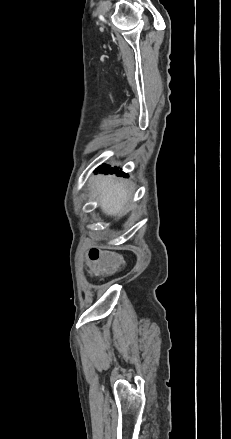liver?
Masks as SVG:
<instances>
[{"label":"liver","instance_id":"obj_1","mask_svg":"<svg viewBox=\"0 0 231 439\" xmlns=\"http://www.w3.org/2000/svg\"><path fill=\"white\" fill-rule=\"evenodd\" d=\"M94 189L107 215L120 216L128 211L130 195L114 176H99L94 180Z\"/></svg>","mask_w":231,"mask_h":439}]
</instances>
